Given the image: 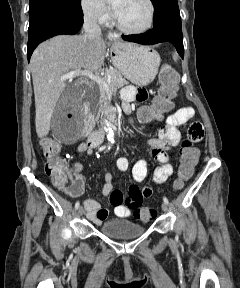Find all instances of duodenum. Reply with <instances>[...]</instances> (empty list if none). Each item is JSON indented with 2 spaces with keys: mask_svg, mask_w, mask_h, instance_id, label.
Wrapping results in <instances>:
<instances>
[{
  "mask_svg": "<svg viewBox=\"0 0 240 288\" xmlns=\"http://www.w3.org/2000/svg\"><path fill=\"white\" fill-rule=\"evenodd\" d=\"M84 113L86 119V128L89 131H91L96 124H100L99 128L90 134L87 141L91 147H96L102 142L104 138L106 133V125L108 123L115 122L118 118V113L114 108H109L105 111L102 117H96L90 112L87 106H85Z\"/></svg>",
  "mask_w": 240,
  "mask_h": 288,
  "instance_id": "410a0bca",
  "label": "duodenum"
}]
</instances>
